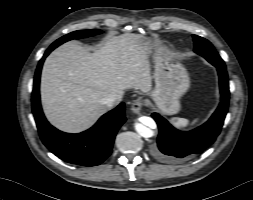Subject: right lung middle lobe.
Listing matches in <instances>:
<instances>
[{
  "instance_id": "right-lung-middle-lobe-1",
  "label": "right lung middle lobe",
  "mask_w": 253,
  "mask_h": 200,
  "mask_svg": "<svg viewBox=\"0 0 253 200\" xmlns=\"http://www.w3.org/2000/svg\"><path fill=\"white\" fill-rule=\"evenodd\" d=\"M102 33V31L98 30V29H93V30H84V31H74L71 32L63 37H61L60 39L56 40L51 46H59L62 43L69 41L71 39H80V38H85V37H89V36H94L97 34Z\"/></svg>"
}]
</instances>
